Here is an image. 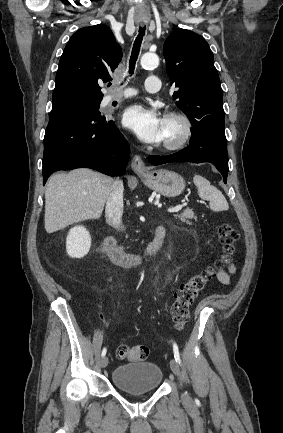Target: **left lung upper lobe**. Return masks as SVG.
<instances>
[{"label": "left lung upper lobe", "mask_w": 283, "mask_h": 433, "mask_svg": "<svg viewBox=\"0 0 283 433\" xmlns=\"http://www.w3.org/2000/svg\"><path fill=\"white\" fill-rule=\"evenodd\" d=\"M163 51L170 82L178 88L173 98L193 128H224L223 93L213 53L205 39L186 29H174Z\"/></svg>", "instance_id": "left-lung-upper-lobe-1"}]
</instances>
